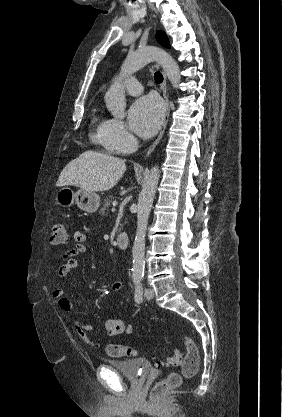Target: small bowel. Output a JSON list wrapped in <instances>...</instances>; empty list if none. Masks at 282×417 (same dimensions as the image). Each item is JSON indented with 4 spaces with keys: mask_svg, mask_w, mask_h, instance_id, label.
Instances as JSON below:
<instances>
[{
    "mask_svg": "<svg viewBox=\"0 0 282 417\" xmlns=\"http://www.w3.org/2000/svg\"><path fill=\"white\" fill-rule=\"evenodd\" d=\"M75 245L73 249L64 255L66 261L58 267V275L60 277L67 276L71 270L75 269L78 266V256L85 253L86 246L85 243L88 239V233L84 229L77 230L74 233ZM124 284L122 281H114L111 284V291L114 293H119L123 290ZM52 297L57 301L58 306L64 312H70L72 310V303L67 298L66 292L63 288H55L52 291ZM123 300L120 299V302ZM74 331L77 333L78 337L86 344L92 345L93 347H98L97 343L92 342L87 333L93 331L95 327L90 324H84L80 320H74L72 322ZM104 329L106 335L108 336H117L120 334L130 335L132 332V327L129 324H126L123 320L118 318L108 319L104 322Z\"/></svg>",
    "mask_w": 282,
    "mask_h": 417,
    "instance_id": "obj_1",
    "label": "small bowel"
}]
</instances>
